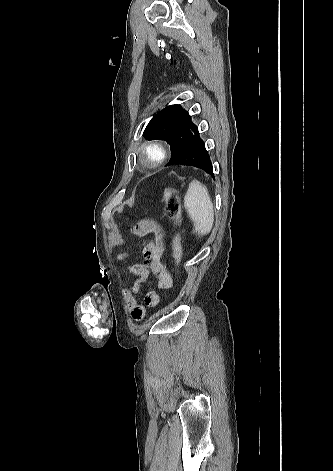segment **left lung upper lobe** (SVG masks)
<instances>
[{"label": "left lung upper lobe", "mask_w": 333, "mask_h": 471, "mask_svg": "<svg viewBox=\"0 0 333 471\" xmlns=\"http://www.w3.org/2000/svg\"><path fill=\"white\" fill-rule=\"evenodd\" d=\"M198 127L189 113L179 105H170L158 112L146 126L143 136L147 140H165L171 148V158L197 134Z\"/></svg>", "instance_id": "obj_1"}]
</instances>
